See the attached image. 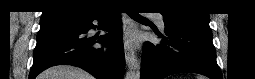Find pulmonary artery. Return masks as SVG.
<instances>
[{"mask_svg": "<svg viewBox=\"0 0 255 79\" xmlns=\"http://www.w3.org/2000/svg\"><path fill=\"white\" fill-rule=\"evenodd\" d=\"M156 21L159 25L160 28L164 29L165 25H164V21L161 15L156 17Z\"/></svg>", "mask_w": 255, "mask_h": 79, "instance_id": "1", "label": "pulmonary artery"}]
</instances>
